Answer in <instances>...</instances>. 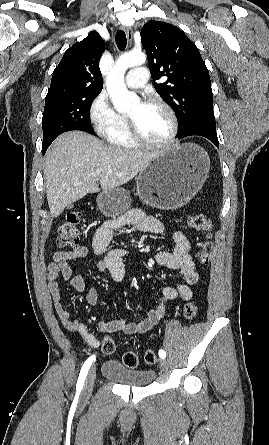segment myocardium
<instances>
[{
	"label": "myocardium",
	"instance_id": "myocardium-1",
	"mask_svg": "<svg viewBox=\"0 0 269 445\" xmlns=\"http://www.w3.org/2000/svg\"><path fill=\"white\" fill-rule=\"evenodd\" d=\"M142 104H156L161 106L169 115L171 120V131L169 135L162 141L154 142L146 139L142 133L140 132L137 121L131 115L127 116V121L129 125L130 132L132 134L133 139L137 142V144L152 148V149H163L168 147L176 138L179 130V121L174 109L162 98L156 96H150L141 101Z\"/></svg>",
	"mask_w": 269,
	"mask_h": 445
}]
</instances>
